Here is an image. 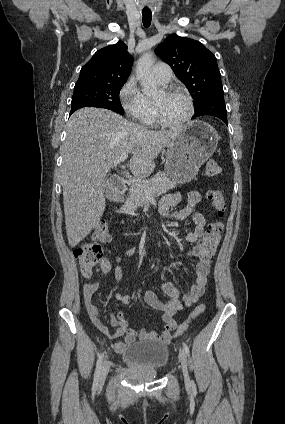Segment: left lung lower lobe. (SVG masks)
<instances>
[{
  "label": "left lung lower lobe",
  "instance_id": "obj_1",
  "mask_svg": "<svg viewBox=\"0 0 285 424\" xmlns=\"http://www.w3.org/2000/svg\"><path fill=\"white\" fill-rule=\"evenodd\" d=\"M210 115L220 118L226 125L227 121V110L224 102V97H214L207 100L199 108L195 109L193 118Z\"/></svg>",
  "mask_w": 285,
  "mask_h": 424
}]
</instances>
